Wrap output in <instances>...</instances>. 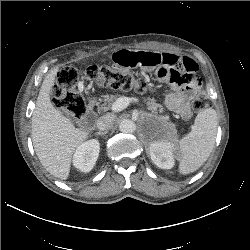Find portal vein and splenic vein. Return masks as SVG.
<instances>
[{"label": "portal vein and splenic vein", "mask_w": 250, "mask_h": 250, "mask_svg": "<svg viewBox=\"0 0 250 250\" xmlns=\"http://www.w3.org/2000/svg\"><path fill=\"white\" fill-rule=\"evenodd\" d=\"M131 99L128 97H119L117 100L112 104L111 110L113 112H120L123 109L127 108Z\"/></svg>", "instance_id": "1"}]
</instances>
